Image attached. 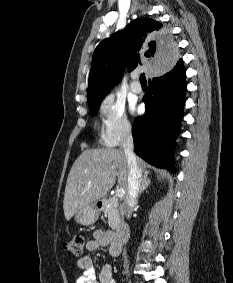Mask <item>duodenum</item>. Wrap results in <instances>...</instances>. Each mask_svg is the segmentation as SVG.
<instances>
[{
	"instance_id": "obj_1",
	"label": "duodenum",
	"mask_w": 233,
	"mask_h": 283,
	"mask_svg": "<svg viewBox=\"0 0 233 283\" xmlns=\"http://www.w3.org/2000/svg\"><path fill=\"white\" fill-rule=\"evenodd\" d=\"M99 208H102V204L99 205ZM129 237V230L127 226L120 225L114 235V246L118 252L121 251L122 245Z\"/></svg>"
}]
</instances>
